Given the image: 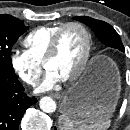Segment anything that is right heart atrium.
I'll return each instance as SVG.
<instances>
[{"instance_id": "d8ad5b80", "label": "right heart atrium", "mask_w": 130, "mask_h": 130, "mask_svg": "<svg viewBox=\"0 0 130 130\" xmlns=\"http://www.w3.org/2000/svg\"><path fill=\"white\" fill-rule=\"evenodd\" d=\"M10 63L14 72L23 82L31 86L38 83L42 73L41 63L35 61L27 51L13 50Z\"/></svg>"}]
</instances>
